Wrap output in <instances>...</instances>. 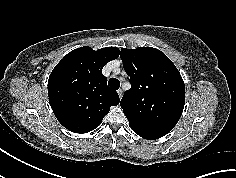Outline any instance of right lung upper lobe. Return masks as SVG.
Segmentation results:
<instances>
[{
  "label": "right lung upper lobe",
  "instance_id": "right-lung-upper-lobe-1",
  "mask_svg": "<svg viewBox=\"0 0 236 178\" xmlns=\"http://www.w3.org/2000/svg\"><path fill=\"white\" fill-rule=\"evenodd\" d=\"M119 56V49L94 51L81 47L68 53L53 69L48 80L50 106L58 121L74 133L97 128L111 106L119 104L116 91L102 74L106 63Z\"/></svg>",
  "mask_w": 236,
  "mask_h": 178
}]
</instances>
